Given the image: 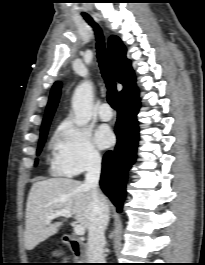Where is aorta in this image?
Segmentation results:
<instances>
[{"instance_id":"aorta-1","label":"aorta","mask_w":205,"mask_h":265,"mask_svg":"<svg viewBox=\"0 0 205 265\" xmlns=\"http://www.w3.org/2000/svg\"><path fill=\"white\" fill-rule=\"evenodd\" d=\"M93 87L89 81H83L76 88L72 97V109L75 115V124L85 126L92 117Z\"/></svg>"}]
</instances>
